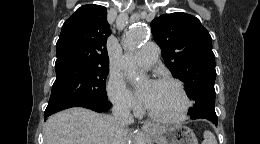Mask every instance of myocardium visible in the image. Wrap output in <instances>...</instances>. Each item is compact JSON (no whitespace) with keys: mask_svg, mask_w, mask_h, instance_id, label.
I'll return each mask as SVG.
<instances>
[{"mask_svg":"<svg viewBox=\"0 0 260 144\" xmlns=\"http://www.w3.org/2000/svg\"><path fill=\"white\" fill-rule=\"evenodd\" d=\"M157 82L166 83V84H170V85L174 86L178 90V92L180 93V95L183 99V108L180 111V113L177 115L166 116V115L158 114V113L152 111L148 106H146L148 115L151 118H153L157 121L163 122V123H177V122H181L184 119H186V117L189 113V110L191 108V100H190V97H189L183 83L181 81H179L178 79H175L172 77H162V78L158 79Z\"/></svg>","mask_w":260,"mask_h":144,"instance_id":"f54148a6","label":"myocardium"}]
</instances>
